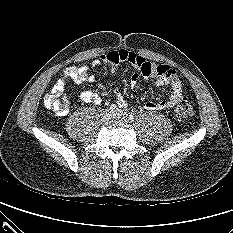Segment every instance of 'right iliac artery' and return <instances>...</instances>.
Segmentation results:
<instances>
[{
  "label": "right iliac artery",
  "mask_w": 233,
  "mask_h": 233,
  "mask_svg": "<svg viewBox=\"0 0 233 233\" xmlns=\"http://www.w3.org/2000/svg\"><path fill=\"white\" fill-rule=\"evenodd\" d=\"M110 110H111V112H115V111L118 110V107H117L115 104H112V105L110 106Z\"/></svg>",
  "instance_id": "1"
}]
</instances>
